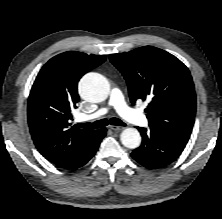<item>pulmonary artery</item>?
I'll return each instance as SVG.
<instances>
[{"label":"pulmonary artery","instance_id":"obj_1","mask_svg":"<svg viewBox=\"0 0 222 219\" xmlns=\"http://www.w3.org/2000/svg\"><path fill=\"white\" fill-rule=\"evenodd\" d=\"M110 101L118 114L126 121L138 126H145L148 124V120L142 112L132 109L126 104L123 95L119 89L115 88L112 90ZM106 112V108H101L94 114L81 115L79 118L81 121L91 120L101 117Z\"/></svg>","mask_w":222,"mask_h":219}]
</instances>
